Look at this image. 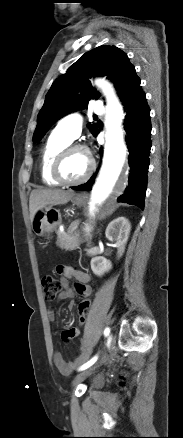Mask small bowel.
Instances as JSON below:
<instances>
[{
  "instance_id": "c3829d8e",
  "label": "small bowel",
  "mask_w": 183,
  "mask_h": 438,
  "mask_svg": "<svg viewBox=\"0 0 183 438\" xmlns=\"http://www.w3.org/2000/svg\"><path fill=\"white\" fill-rule=\"evenodd\" d=\"M56 272L58 275H60V284L63 287V290L58 295V298L60 300L71 299L74 298L76 295H78L81 298L89 297L91 295L92 289L88 285L91 278L87 273L68 265H58L56 267ZM71 277H74L78 281L72 287L69 286V278ZM74 306L75 303L73 301L70 302L69 308L73 309ZM48 317L50 321L55 320V313L53 310H49ZM79 333L80 330L77 327H71L63 331L62 338L64 341L68 342L73 338L77 337ZM89 357H90V352L86 350L72 361L67 362L59 352H56L54 354L53 359L57 369L63 375H69L79 365L84 363Z\"/></svg>"
}]
</instances>
